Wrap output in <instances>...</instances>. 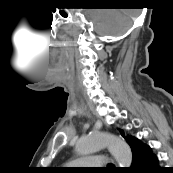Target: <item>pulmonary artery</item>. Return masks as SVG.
Here are the masks:
<instances>
[{
    "instance_id": "e3ab8cb5",
    "label": "pulmonary artery",
    "mask_w": 173,
    "mask_h": 173,
    "mask_svg": "<svg viewBox=\"0 0 173 173\" xmlns=\"http://www.w3.org/2000/svg\"><path fill=\"white\" fill-rule=\"evenodd\" d=\"M73 166L85 168H97L106 165V159L103 156H87L79 158L71 163Z\"/></svg>"
}]
</instances>
